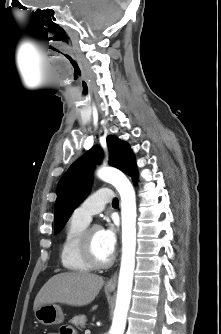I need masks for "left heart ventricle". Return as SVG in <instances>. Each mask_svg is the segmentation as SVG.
I'll return each mask as SVG.
<instances>
[{"label":"left heart ventricle","instance_id":"b2bd125f","mask_svg":"<svg viewBox=\"0 0 221 334\" xmlns=\"http://www.w3.org/2000/svg\"><path fill=\"white\" fill-rule=\"evenodd\" d=\"M93 249L100 260H107L112 252L105 246L102 238L101 229H95L92 232Z\"/></svg>","mask_w":221,"mask_h":334}]
</instances>
